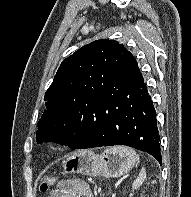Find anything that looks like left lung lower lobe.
<instances>
[{
  "mask_svg": "<svg viewBox=\"0 0 191 197\" xmlns=\"http://www.w3.org/2000/svg\"><path fill=\"white\" fill-rule=\"evenodd\" d=\"M65 141L72 149L126 145L162 164L156 111L141 73L104 93L91 114L77 118Z\"/></svg>",
  "mask_w": 191,
  "mask_h": 197,
  "instance_id": "0a47b994",
  "label": "left lung lower lobe"
}]
</instances>
